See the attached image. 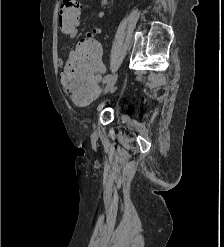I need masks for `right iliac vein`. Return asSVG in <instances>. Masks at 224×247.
<instances>
[{"mask_svg": "<svg viewBox=\"0 0 224 247\" xmlns=\"http://www.w3.org/2000/svg\"><path fill=\"white\" fill-rule=\"evenodd\" d=\"M117 78H118V75L111 76V78L109 79V81L107 82L104 88V92H103L104 94L108 93L114 87V85L116 84ZM93 126L95 125L93 124Z\"/></svg>", "mask_w": 224, "mask_h": 247, "instance_id": "1", "label": "right iliac vein"}]
</instances>
